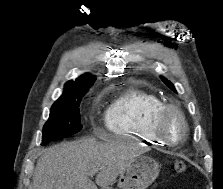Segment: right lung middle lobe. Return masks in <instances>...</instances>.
I'll use <instances>...</instances> for the list:
<instances>
[{
	"mask_svg": "<svg viewBox=\"0 0 223 189\" xmlns=\"http://www.w3.org/2000/svg\"><path fill=\"white\" fill-rule=\"evenodd\" d=\"M86 92L60 97L51 107L50 117L43 127L42 144L61 139L82 129L80 102Z\"/></svg>",
	"mask_w": 223,
	"mask_h": 189,
	"instance_id": "dd1d6c3e",
	"label": "right lung middle lobe"
}]
</instances>
